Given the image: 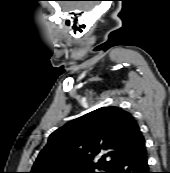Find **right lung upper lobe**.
Returning <instances> with one entry per match:
<instances>
[{"instance_id":"obj_1","label":"right lung upper lobe","mask_w":170,"mask_h":173,"mask_svg":"<svg viewBox=\"0 0 170 173\" xmlns=\"http://www.w3.org/2000/svg\"><path fill=\"white\" fill-rule=\"evenodd\" d=\"M144 144L140 128L129 112L115 106L102 107L54 131L30 173L106 169Z\"/></svg>"}]
</instances>
